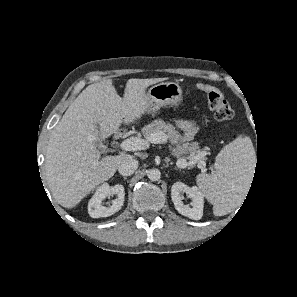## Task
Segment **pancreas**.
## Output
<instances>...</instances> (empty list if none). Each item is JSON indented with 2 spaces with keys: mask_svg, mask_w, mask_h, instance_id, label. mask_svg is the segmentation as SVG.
Instances as JSON below:
<instances>
[{
  "mask_svg": "<svg viewBox=\"0 0 297 297\" xmlns=\"http://www.w3.org/2000/svg\"><path fill=\"white\" fill-rule=\"evenodd\" d=\"M157 132H162L164 135H166L167 138L172 139V141L175 143H177L178 141L180 142L183 141L181 134H179V132L175 129V127L172 124L166 123L161 119L154 120L153 122H151L150 124L142 128V134L145 138H148L152 133H157ZM199 152H200V149L197 144L192 146L188 143H182V144H179L173 150L172 153L177 158H180L185 154H189V156L193 158ZM204 160L205 159L203 157H199L198 160L192 159L190 162H192L193 164L190 167H192L195 164L200 165L201 163L204 162ZM201 168H202V171H204V167H201Z\"/></svg>",
  "mask_w": 297,
  "mask_h": 297,
  "instance_id": "cf45deb5",
  "label": "pancreas"
}]
</instances>
